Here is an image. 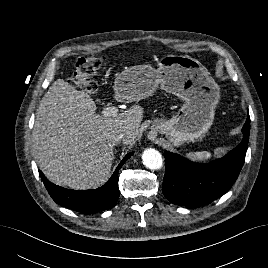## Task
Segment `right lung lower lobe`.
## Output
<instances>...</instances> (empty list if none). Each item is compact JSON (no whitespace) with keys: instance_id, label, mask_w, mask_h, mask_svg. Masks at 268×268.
Masks as SVG:
<instances>
[{"instance_id":"1","label":"right lung lower lobe","mask_w":268,"mask_h":268,"mask_svg":"<svg viewBox=\"0 0 268 268\" xmlns=\"http://www.w3.org/2000/svg\"><path fill=\"white\" fill-rule=\"evenodd\" d=\"M133 153L127 154L120 162L108 182L98 189L69 190L49 182L39 171L40 177L52 199L59 205L77 212L92 214L110 209L119 198L118 171Z\"/></svg>"}]
</instances>
